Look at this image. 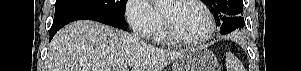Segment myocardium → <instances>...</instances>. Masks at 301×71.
<instances>
[{
    "label": "myocardium",
    "mask_w": 301,
    "mask_h": 71,
    "mask_svg": "<svg viewBox=\"0 0 301 71\" xmlns=\"http://www.w3.org/2000/svg\"><path fill=\"white\" fill-rule=\"evenodd\" d=\"M176 1L189 2V3H192V4L200 7L208 19L209 28H208L207 33L199 39L185 38L174 29V27L168 20L167 16L162 11V16H163V21H164V29H165V32L168 35V37L172 41L182 44V45H186V46H200V45H204L207 42H209L213 38V36L216 32V21H215L213 14L209 10V8L202 1H198V0H176Z\"/></svg>",
    "instance_id": "myocardium-1"
}]
</instances>
